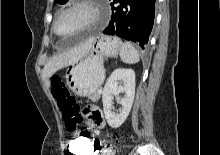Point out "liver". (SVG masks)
I'll use <instances>...</instances> for the list:
<instances>
[{
  "label": "liver",
  "mask_w": 220,
  "mask_h": 155,
  "mask_svg": "<svg viewBox=\"0 0 220 155\" xmlns=\"http://www.w3.org/2000/svg\"><path fill=\"white\" fill-rule=\"evenodd\" d=\"M91 44L74 47L68 49L53 58H51L44 66L42 77L47 87H50V78L58 70L73 64L83 58L90 50Z\"/></svg>",
  "instance_id": "liver-1"
}]
</instances>
